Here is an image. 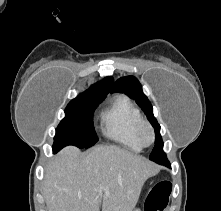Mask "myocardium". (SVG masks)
I'll use <instances>...</instances> for the list:
<instances>
[{"mask_svg": "<svg viewBox=\"0 0 221 211\" xmlns=\"http://www.w3.org/2000/svg\"><path fill=\"white\" fill-rule=\"evenodd\" d=\"M138 136L144 145H150L155 141L153 126L146 120H142L138 128Z\"/></svg>", "mask_w": 221, "mask_h": 211, "instance_id": "1", "label": "myocardium"}]
</instances>
